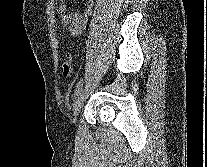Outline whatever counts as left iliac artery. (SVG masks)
<instances>
[{"label": "left iliac artery", "instance_id": "left-iliac-artery-1", "mask_svg": "<svg viewBox=\"0 0 207 167\" xmlns=\"http://www.w3.org/2000/svg\"><path fill=\"white\" fill-rule=\"evenodd\" d=\"M82 86H83V79H81L78 83H77V86H76V89L74 91V97H76L79 92L81 91L82 89Z\"/></svg>", "mask_w": 207, "mask_h": 167}]
</instances>
